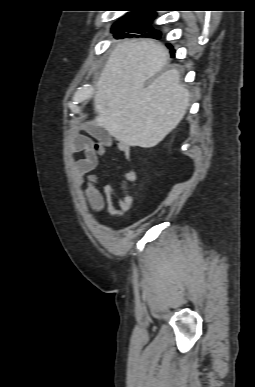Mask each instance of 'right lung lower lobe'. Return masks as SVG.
Listing matches in <instances>:
<instances>
[{
    "label": "right lung lower lobe",
    "instance_id": "obj_1",
    "mask_svg": "<svg viewBox=\"0 0 255 387\" xmlns=\"http://www.w3.org/2000/svg\"><path fill=\"white\" fill-rule=\"evenodd\" d=\"M149 34H152V35H149ZM119 37H126V36H132V35H128V34H122V35H118ZM143 37H152V38H156V39H158L159 38V35H156L155 34V32L153 31V32H144V35H142ZM169 48H171L172 49V47L169 45ZM171 52L173 53L174 52V50L172 49L171 50ZM172 56H174L173 54H172Z\"/></svg>",
    "mask_w": 255,
    "mask_h": 387
}]
</instances>
